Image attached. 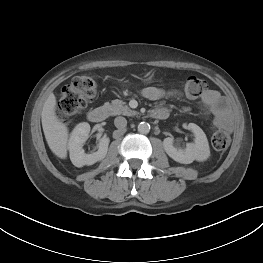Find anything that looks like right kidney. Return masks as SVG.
Segmentation results:
<instances>
[{
  "mask_svg": "<svg viewBox=\"0 0 263 263\" xmlns=\"http://www.w3.org/2000/svg\"><path fill=\"white\" fill-rule=\"evenodd\" d=\"M90 132V125L87 122L79 123L72 131L69 142L68 149L70 153V159L73 165L76 167H83L85 165H93L94 163L101 161L105 158L108 145L109 138L102 137L98 144V151L86 154L83 149L84 142L88 139Z\"/></svg>",
  "mask_w": 263,
  "mask_h": 263,
  "instance_id": "ca27d5eb",
  "label": "right kidney"
}]
</instances>
